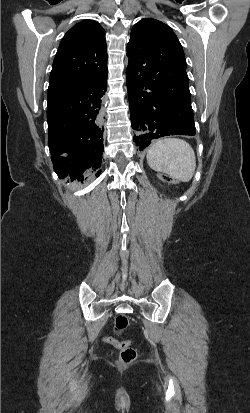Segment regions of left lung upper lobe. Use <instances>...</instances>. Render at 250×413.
Wrapping results in <instances>:
<instances>
[{
    "mask_svg": "<svg viewBox=\"0 0 250 413\" xmlns=\"http://www.w3.org/2000/svg\"><path fill=\"white\" fill-rule=\"evenodd\" d=\"M147 39L154 40V67L187 77L183 48L169 26L152 18L142 19L132 28L127 50Z\"/></svg>",
    "mask_w": 250,
    "mask_h": 413,
    "instance_id": "obj_1",
    "label": "left lung upper lobe"
}]
</instances>
